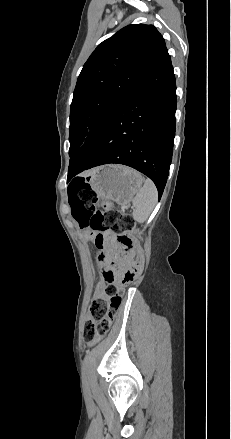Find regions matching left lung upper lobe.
Segmentation results:
<instances>
[{"mask_svg": "<svg viewBox=\"0 0 231 439\" xmlns=\"http://www.w3.org/2000/svg\"><path fill=\"white\" fill-rule=\"evenodd\" d=\"M168 55L165 41L153 25H128L97 46L84 64L73 93L71 158L97 133L126 94Z\"/></svg>", "mask_w": 231, "mask_h": 439, "instance_id": "obj_1", "label": "left lung upper lobe"}]
</instances>
